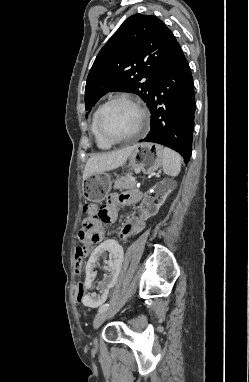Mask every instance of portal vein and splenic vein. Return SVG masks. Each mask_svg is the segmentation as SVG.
Returning a JSON list of instances; mask_svg holds the SVG:
<instances>
[{
	"instance_id": "18ae733b",
	"label": "portal vein and splenic vein",
	"mask_w": 249,
	"mask_h": 382,
	"mask_svg": "<svg viewBox=\"0 0 249 382\" xmlns=\"http://www.w3.org/2000/svg\"><path fill=\"white\" fill-rule=\"evenodd\" d=\"M131 181H135V178H134V177H132V178H131Z\"/></svg>"
}]
</instances>
